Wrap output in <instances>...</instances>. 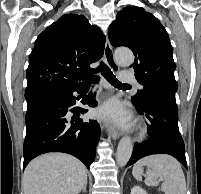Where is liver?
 <instances>
[{"mask_svg": "<svg viewBox=\"0 0 201 194\" xmlns=\"http://www.w3.org/2000/svg\"><path fill=\"white\" fill-rule=\"evenodd\" d=\"M86 184L84 164L64 153H48L33 159L22 177L24 194H78Z\"/></svg>", "mask_w": 201, "mask_h": 194, "instance_id": "liver-1", "label": "liver"}]
</instances>
